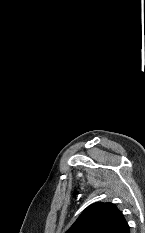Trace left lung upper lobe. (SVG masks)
I'll list each match as a JSON object with an SVG mask.
<instances>
[{
    "instance_id": "obj_1",
    "label": "left lung upper lobe",
    "mask_w": 145,
    "mask_h": 233,
    "mask_svg": "<svg viewBox=\"0 0 145 233\" xmlns=\"http://www.w3.org/2000/svg\"><path fill=\"white\" fill-rule=\"evenodd\" d=\"M66 233H130L122 212L113 203L88 206Z\"/></svg>"
}]
</instances>
